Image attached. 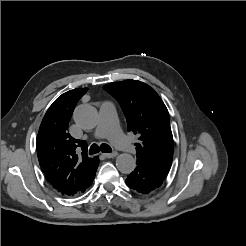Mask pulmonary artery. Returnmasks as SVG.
I'll use <instances>...</instances> for the list:
<instances>
[{
  "instance_id": "e3ab8cb5",
  "label": "pulmonary artery",
  "mask_w": 246,
  "mask_h": 246,
  "mask_svg": "<svg viewBox=\"0 0 246 246\" xmlns=\"http://www.w3.org/2000/svg\"><path fill=\"white\" fill-rule=\"evenodd\" d=\"M95 138H108L119 149L135 154V146L122 133L117 122V115L113 103L103 102L99 110V122L94 132Z\"/></svg>"
}]
</instances>
